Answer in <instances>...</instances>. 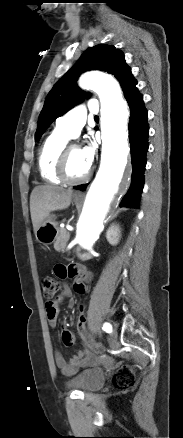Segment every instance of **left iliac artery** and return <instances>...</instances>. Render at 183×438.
Masks as SVG:
<instances>
[{"label": "left iliac artery", "instance_id": "obj_1", "mask_svg": "<svg viewBox=\"0 0 183 438\" xmlns=\"http://www.w3.org/2000/svg\"><path fill=\"white\" fill-rule=\"evenodd\" d=\"M102 329L108 333H111L112 332V325L110 323L105 322L103 324Z\"/></svg>", "mask_w": 183, "mask_h": 438}]
</instances>
